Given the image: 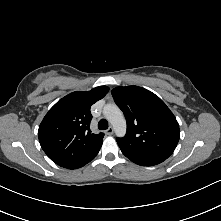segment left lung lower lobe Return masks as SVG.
Returning a JSON list of instances; mask_svg holds the SVG:
<instances>
[{"mask_svg":"<svg viewBox=\"0 0 221 221\" xmlns=\"http://www.w3.org/2000/svg\"><path fill=\"white\" fill-rule=\"evenodd\" d=\"M122 153L129 158L131 161L138 165L142 166H152L159 164L166 160L168 157L165 155L161 154H156V153H150V152H144V151H139L135 150L132 148L125 147L118 143Z\"/></svg>","mask_w":221,"mask_h":221,"instance_id":"0a47b994","label":"left lung lower lobe"}]
</instances>
